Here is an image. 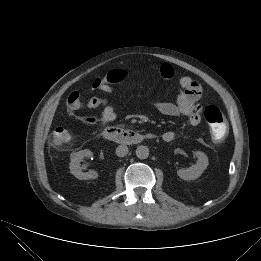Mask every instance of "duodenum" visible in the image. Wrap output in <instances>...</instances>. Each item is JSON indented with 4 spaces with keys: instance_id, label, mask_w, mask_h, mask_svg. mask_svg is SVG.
<instances>
[{
    "instance_id": "obj_1",
    "label": "duodenum",
    "mask_w": 261,
    "mask_h": 261,
    "mask_svg": "<svg viewBox=\"0 0 261 261\" xmlns=\"http://www.w3.org/2000/svg\"><path fill=\"white\" fill-rule=\"evenodd\" d=\"M103 137L109 141L117 142L120 144L132 145L140 143L145 138H154L155 135L152 133L142 135L141 133L131 129H122L119 127L109 126L104 129Z\"/></svg>"
}]
</instances>
